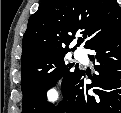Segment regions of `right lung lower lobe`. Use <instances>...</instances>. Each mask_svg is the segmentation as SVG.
I'll return each instance as SVG.
<instances>
[{
    "instance_id": "right-lung-lower-lobe-1",
    "label": "right lung lower lobe",
    "mask_w": 121,
    "mask_h": 113,
    "mask_svg": "<svg viewBox=\"0 0 121 113\" xmlns=\"http://www.w3.org/2000/svg\"><path fill=\"white\" fill-rule=\"evenodd\" d=\"M89 49L96 51L90 58L99 63L98 75L89 77L92 83L87 84L85 72L78 70L63 92L67 102L50 113H121V31ZM89 90L95 94H88Z\"/></svg>"
}]
</instances>
